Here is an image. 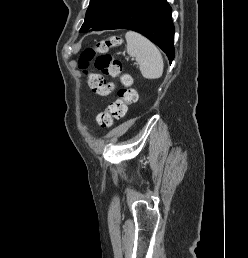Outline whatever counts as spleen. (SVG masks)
<instances>
[{
  "instance_id": "1",
  "label": "spleen",
  "mask_w": 248,
  "mask_h": 258,
  "mask_svg": "<svg viewBox=\"0 0 248 258\" xmlns=\"http://www.w3.org/2000/svg\"><path fill=\"white\" fill-rule=\"evenodd\" d=\"M127 53L134 57L142 76L146 79H158L163 73V58L159 49L146 37L128 31L125 35Z\"/></svg>"
}]
</instances>
